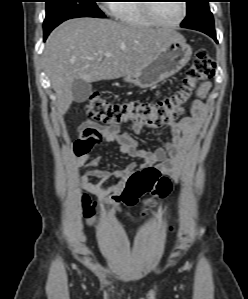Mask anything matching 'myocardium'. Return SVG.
<instances>
[{
	"label": "myocardium",
	"instance_id": "myocardium-1",
	"mask_svg": "<svg viewBox=\"0 0 248 299\" xmlns=\"http://www.w3.org/2000/svg\"><path fill=\"white\" fill-rule=\"evenodd\" d=\"M182 5V14L181 17L174 23H166L163 22L155 13L154 8L156 3H146L144 4V10L147 14V16L156 24L162 27H168V28H174L179 26L183 23L187 16V3L184 0H180ZM148 2H154V1H148Z\"/></svg>",
	"mask_w": 248,
	"mask_h": 299
}]
</instances>
